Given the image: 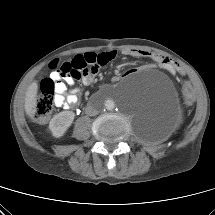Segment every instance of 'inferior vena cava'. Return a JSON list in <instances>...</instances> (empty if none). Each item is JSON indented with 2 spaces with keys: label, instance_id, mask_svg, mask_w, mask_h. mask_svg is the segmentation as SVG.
<instances>
[{
  "label": "inferior vena cava",
  "instance_id": "602c4592",
  "mask_svg": "<svg viewBox=\"0 0 215 215\" xmlns=\"http://www.w3.org/2000/svg\"><path fill=\"white\" fill-rule=\"evenodd\" d=\"M85 113L89 116H95L99 113L98 109L92 105H87L85 108Z\"/></svg>",
  "mask_w": 215,
  "mask_h": 215
}]
</instances>
